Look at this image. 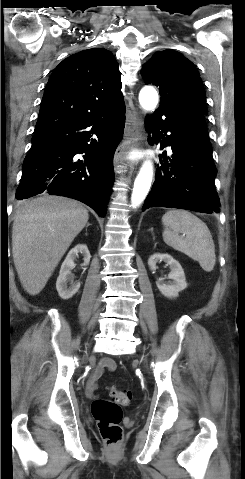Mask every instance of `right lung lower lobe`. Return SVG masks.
I'll use <instances>...</instances> for the list:
<instances>
[{"instance_id":"right-lung-lower-lobe-1","label":"right lung lower lobe","mask_w":245,"mask_h":479,"mask_svg":"<svg viewBox=\"0 0 245 479\" xmlns=\"http://www.w3.org/2000/svg\"><path fill=\"white\" fill-rule=\"evenodd\" d=\"M124 126L122 107L57 121L35 132L16 198L41 193L66 196L105 217L114 181L113 155Z\"/></svg>"}]
</instances>
